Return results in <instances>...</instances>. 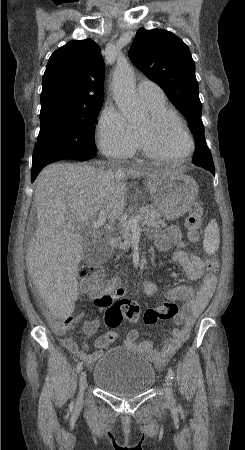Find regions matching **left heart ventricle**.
I'll use <instances>...</instances> for the list:
<instances>
[{"label": "left heart ventricle", "instance_id": "b2bd125f", "mask_svg": "<svg viewBox=\"0 0 245 450\" xmlns=\"http://www.w3.org/2000/svg\"><path fill=\"white\" fill-rule=\"evenodd\" d=\"M154 148L165 155L178 156L187 153L190 142L181 127L172 120L154 127L148 116L138 127Z\"/></svg>", "mask_w": 245, "mask_h": 450}]
</instances>
